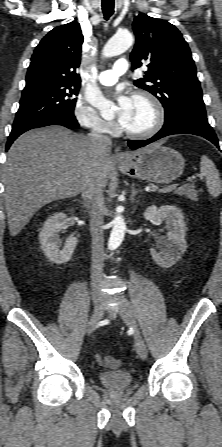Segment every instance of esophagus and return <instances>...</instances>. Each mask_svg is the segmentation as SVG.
I'll return each mask as SVG.
<instances>
[{
  "mask_svg": "<svg viewBox=\"0 0 222 447\" xmlns=\"http://www.w3.org/2000/svg\"><path fill=\"white\" fill-rule=\"evenodd\" d=\"M115 158L119 161L122 162L124 161V159L126 158V154L119 148L117 147L115 149Z\"/></svg>",
  "mask_w": 222,
  "mask_h": 447,
  "instance_id": "34e87169",
  "label": "esophagus"
}]
</instances>
